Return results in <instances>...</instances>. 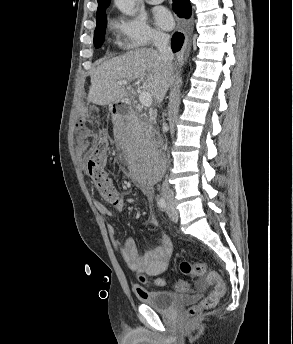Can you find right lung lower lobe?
Instances as JSON below:
<instances>
[{"label": "right lung lower lobe", "instance_id": "obj_1", "mask_svg": "<svg viewBox=\"0 0 293 344\" xmlns=\"http://www.w3.org/2000/svg\"><path fill=\"white\" fill-rule=\"evenodd\" d=\"M174 12L182 18L188 19L191 16V5L189 0H173ZM184 41V35L180 32H176L173 35L171 47L173 52H177L181 49Z\"/></svg>", "mask_w": 293, "mask_h": 344}]
</instances>
